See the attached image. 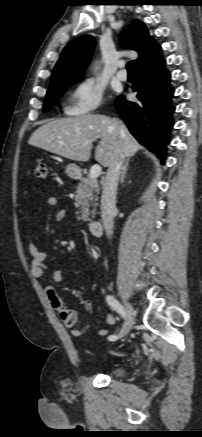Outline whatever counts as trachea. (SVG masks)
<instances>
[{
	"mask_svg": "<svg viewBox=\"0 0 202 437\" xmlns=\"http://www.w3.org/2000/svg\"><path fill=\"white\" fill-rule=\"evenodd\" d=\"M128 71H135L133 61H129L126 65Z\"/></svg>",
	"mask_w": 202,
	"mask_h": 437,
	"instance_id": "trachea-1",
	"label": "trachea"
}]
</instances>
